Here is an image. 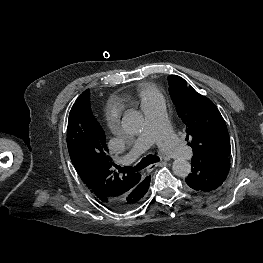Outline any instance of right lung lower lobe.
<instances>
[{"mask_svg": "<svg viewBox=\"0 0 263 263\" xmlns=\"http://www.w3.org/2000/svg\"><path fill=\"white\" fill-rule=\"evenodd\" d=\"M149 184H150V177H146L145 184H144L146 189L149 188ZM108 207L110 209H113V210H116V211H121L122 210V206L119 203H117V202H114V203L108 205Z\"/></svg>", "mask_w": 263, "mask_h": 263, "instance_id": "right-lung-lower-lobe-1", "label": "right lung lower lobe"}]
</instances>
